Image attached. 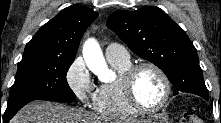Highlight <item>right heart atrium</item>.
<instances>
[{
	"label": "right heart atrium",
	"instance_id": "obj_1",
	"mask_svg": "<svg viewBox=\"0 0 221 123\" xmlns=\"http://www.w3.org/2000/svg\"><path fill=\"white\" fill-rule=\"evenodd\" d=\"M66 82L82 104L94 103L96 90L93 87L90 73L81 58H76L70 64L66 72Z\"/></svg>",
	"mask_w": 221,
	"mask_h": 123
}]
</instances>
